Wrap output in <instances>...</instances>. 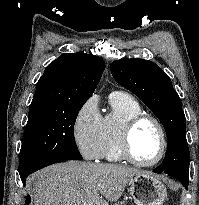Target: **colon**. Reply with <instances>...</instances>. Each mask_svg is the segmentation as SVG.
<instances>
[{"instance_id": "colon-1", "label": "colon", "mask_w": 199, "mask_h": 205, "mask_svg": "<svg viewBox=\"0 0 199 205\" xmlns=\"http://www.w3.org/2000/svg\"><path fill=\"white\" fill-rule=\"evenodd\" d=\"M25 205H31V201H30V200H27V202H26Z\"/></svg>"}]
</instances>
